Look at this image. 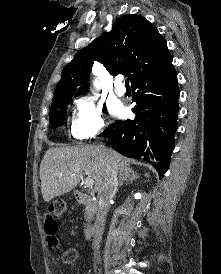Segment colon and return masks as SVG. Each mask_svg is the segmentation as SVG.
Returning <instances> with one entry per match:
<instances>
[{"label":"colon","instance_id":"obj_1","mask_svg":"<svg viewBox=\"0 0 221 274\" xmlns=\"http://www.w3.org/2000/svg\"><path fill=\"white\" fill-rule=\"evenodd\" d=\"M49 211L55 220L61 219L66 212V202L62 199L51 203ZM76 259V252L73 249L65 250L62 253V261L66 264L73 263Z\"/></svg>","mask_w":221,"mask_h":274}]
</instances>
